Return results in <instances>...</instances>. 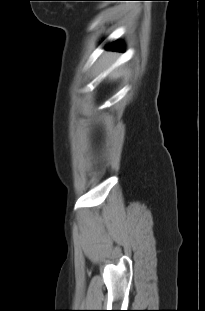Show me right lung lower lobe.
I'll use <instances>...</instances> for the list:
<instances>
[{"instance_id":"right-lung-lower-lobe-1","label":"right lung lower lobe","mask_w":205,"mask_h":311,"mask_svg":"<svg viewBox=\"0 0 205 311\" xmlns=\"http://www.w3.org/2000/svg\"><path fill=\"white\" fill-rule=\"evenodd\" d=\"M106 49L111 50V51H119V52L123 51L122 46L117 42H114V43L108 45Z\"/></svg>"}]
</instances>
